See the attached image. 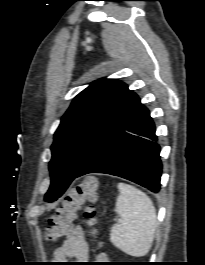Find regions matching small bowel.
Returning a JSON list of instances; mask_svg holds the SVG:
<instances>
[{"instance_id":"1","label":"small bowel","mask_w":205,"mask_h":265,"mask_svg":"<svg viewBox=\"0 0 205 265\" xmlns=\"http://www.w3.org/2000/svg\"><path fill=\"white\" fill-rule=\"evenodd\" d=\"M90 249L85 232L81 226H76L67 234L63 244L53 251V260L59 263L74 259L77 263L89 260Z\"/></svg>"}]
</instances>
